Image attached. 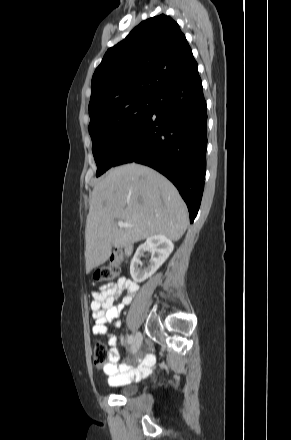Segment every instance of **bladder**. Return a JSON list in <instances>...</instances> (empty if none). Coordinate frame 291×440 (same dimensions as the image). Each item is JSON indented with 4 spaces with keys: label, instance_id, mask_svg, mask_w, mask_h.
<instances>
[{
    "label": "bladder",
    "instance_id": "1",
    "mask_svg": "<svg viewBox=\"0 0 291 440\" xmlns=\"http://www.w3.org/2000/svg\"><path fill=\"white\" fill-rule=\"evenodd\" d=\"M135 394V386L132 383L125 384L121 387V395L124 397L133 396Z\"/></svg>",
    "mask_w": 291,
    "mask_h": 440
}]
</instances>
